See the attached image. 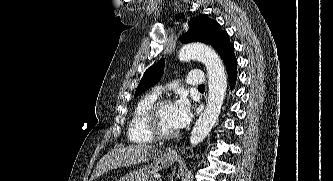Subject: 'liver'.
Here are the masks:
<instances>
[{
  "instance_id": "obj_1",
  "label": "liver",
  "mask_w": 333,
  "mask_h": 181,
  "mask_svg": "<svg viewBox=\"0 0 333 181\" xmlns=\"http://www.w3.org/2000/svg\"><path fill=\"white\" fill-rule=\"evenodd\" d=\"M157 150H161V148L148 145H132L115 148L103 156L98 162L90 181H93L109 170L148 162L152 159L153 152Z\"/></svg>"
}]
</instances>
